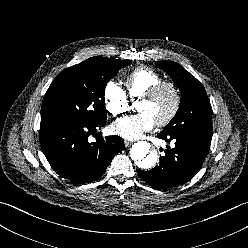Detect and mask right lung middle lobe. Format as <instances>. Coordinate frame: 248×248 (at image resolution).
<instances>
[{
  "instance_id": "1",
  "label": "right lung middle lobe",
  "mask_w": 248,
  "mask_h": 248,
  "mask_svg": "<svg viewBox=\"0 0 248 248\" xmlns=\"http://www.w3.org/2000/svg\"><path fill=\"white\" fill-rule=\"evenodd\" d=\"M129 64L130 60L97 56L64 69L44 96L41 119L105 121V87L121 68Z\"/></svg>"
}]
</instances>
